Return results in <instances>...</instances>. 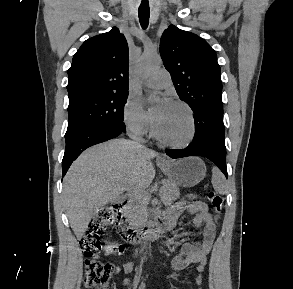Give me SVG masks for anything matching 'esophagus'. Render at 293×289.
I'll list each match as a JSON object with an SVG mask.
<instances>
[{
  "label": "esophagus",
  "instance_id": "esophagus-1",
  "mask_svg": "<svg viewBox=\"0 0 293 289\" xmlns=\"http://www.w3.org/2000/svg\"><path fill=\"white\" fill-rule=\"evenodd\" d=\"M158 159L161 160V161H165V160H166V159H165L164 157H162V156H159Z\"/></svg>",
  "mask_w": 293,
  "mask_h": 289
}]
</instances>
